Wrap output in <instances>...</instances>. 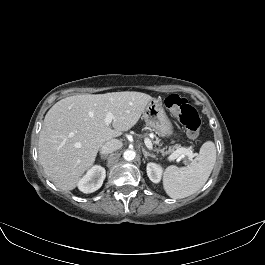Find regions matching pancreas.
I'll use <instances>...</instances> for the list:
<instances>
[{"label":"pancreas","mask_w":265,"mask_h":265,"mask_svg":"<svg viewBox=\"0 0 265 265\" xmlns=\"http://www.w3.org/2000/svg\"><path fill=\"white\" fill-rule=\"evenodd\" d=\"M154 144H157L159 146H161L160 144V139L156 137L155 141H153ZM183 147H181L180 145H175V146H172V147H169V148H163V149H157L158 152H160L162 155H168V154H173L175 153L176 151H179L180 149H182ZM186 149V148H185ZM188 150L190 152H192V150L190 148H188Z\"/></svg>","instance_id":"pancreas-1"}]
</instances>
